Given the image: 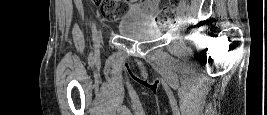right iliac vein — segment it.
Segmentation results:
<instances>
[{
	"label": "right iliac vein",
	"instance_id": "obj_1",
	"mask_svg": "<svg viewBox=\"0 0 267 115\" xmlns=\"http://www.w3.org/2000/svg\"><path fill=\"white\" fill-rule=\"evenodd\" d=\"M99 38V36L98 35H96V39H98ZM99 40V39H98Z\"/></svg>",
	"mask_w": 267,
	"mask_h": 115
}]
</instances>
